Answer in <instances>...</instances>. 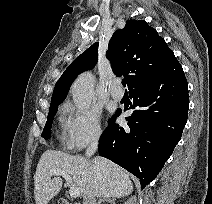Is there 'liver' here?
Instances as JSON below:
<instances>
[{
    "label": "liver",
    "mask_w": 212,
    "mask_h": 204,
    "mask_svg": "<svg viewBox=\"0 0 212 204\" xmlns=\"http://www.w3.org/2000/svg\"><path fill=\"white\" fill-rule=\"evenodd\" d=\"M61 169L72 179L82 197L93 193L100 198H121L133 191L128 173L110 160L96 156L92 160L62 151L46 150L34 175L36 204H47L62 187L60 176L51 179L50 170Z\"/></svg>",
    "instance_id": "1"
}]
</instances>
